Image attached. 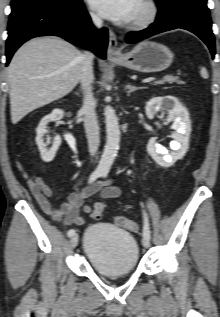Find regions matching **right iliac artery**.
I'll return each mask as SVG.
<instances>
[{
	"label": "right iliac artery",
	"instance_id": "1",
	"mask_svg": "<svg viewBox=\"0 0 220 317\" xmlns=\"http://www.w3.org/2000/svg\"><path fill=\"white\" fill-rule=\"evenodd\" d=\"M102 171H94L90 178H89V183H92L93 181H95L97 178H99L100 176H102ZM75 234V230L74 229H70L67 233L68 237H72Z\"/></svg>",
	"mask_w": 220,
	"mask_h": 317
}]
</instances>
